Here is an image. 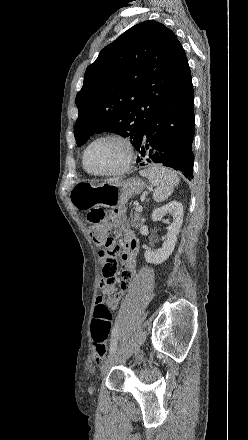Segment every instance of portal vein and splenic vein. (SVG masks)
I'll return each mask as SVG.
<instances>
[{"label": "portal vein and splenic vein", "instance_id": "18ae733b", "mask_svg": "<svg viewBox=\"0 0 248 440\" xmlns=\"http://www.w3.org/2000/svg\"><path fill=\"white\" fill-rule=\"evenodd\" d=\"M136 211L141 212L142 211V206L137 204L136 205Z\"/></svg>", "mask_w": 248, "mask_h": 440}]
</instances>
